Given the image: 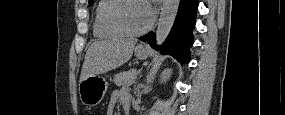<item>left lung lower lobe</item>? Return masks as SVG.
Returning <instances> with one entry per match:
<instances>
[{"label":"left lung lower lobe","instance_id":"left-lung-lower-lobe-1","mask_svg":"<svg viewBox=\"0 0 285 115\" xmlns=\"http://www.w3.org/2000/svg\"><path fill=\"white\" fill-rule=\"evenodd\" d=\"M198 0H181L175 23L163 43L160 46L162 53L171 55L181 64L190 60V47L194 43L193 29L195 27ZM153 32H149L139 39L148 42L151 47H156V40Z\"/></svg>","mask_w":285,"mask_h":115}]
</instances>
